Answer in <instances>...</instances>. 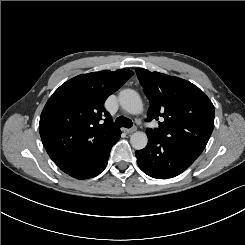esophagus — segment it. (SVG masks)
I'll return each instance as SVG.
<instances>
[{"mask_svg":"<svg viewBox=\"0 0 245 245\" xmlns=\"http://www.w3.org/2000/svg\"><path fill=\"white\" fill-rule=\"evenodd\" d=\"M136 130H137L136 126L130 128V129H126V128L123 129V131L127 134H131V133L135 132Z\"/></svg>","mask_w":245,"mask_h":245,"instance_id":"34e87169","label":"esophagus"}]
</instances>
